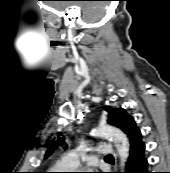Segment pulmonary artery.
Here are the masks:
<instances>
[{
    "mask_svg": "<svg viewBox=\"0 0 170 173\" xmlns=\"http://www.w3.org/2000/svg\"><path fill=\"white\" fill-rule=\"evenodd\" d=\"M91 148L87 147L85 144H81L73 151H71L67 156L68 166L70 168H74L79 163V155L83 152L90 150ZM98 156H108V155H115V149L111 145H104L99 146L95 152Z\"/></svg>",
    "mask_w": 170,
    "mask_h": 173,
    "instance_id": "e3ab8cb5",
    "label": "pulmonary artery"
}]
</instances>
